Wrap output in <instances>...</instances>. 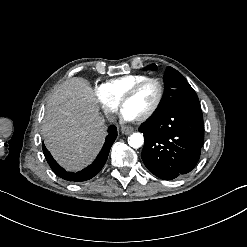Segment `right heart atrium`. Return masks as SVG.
I'll use <instances>...</instances> for the list:
<instances>
[{
    "instance_id": "obj_1",
    "label": "right heart atrium",
    "mask_w": 247,
    "mask_h": 247,
    "mask_svg": "<svg viewBox=\"0 0 247 247\" xmlns=\"http://www.w3.org/2000/svg\"><path fill=\"white\" fill-rule=\"evenodd\" d=\"M94 95L96 97V102L98 105L103 106L102 111L105 114H109L117 109L118 103H115L110 100L107 90L103 86H98L94 90Z\"/></svg>"
}]
</instances>
